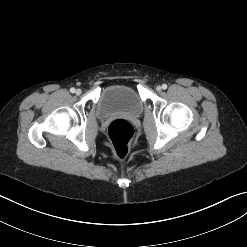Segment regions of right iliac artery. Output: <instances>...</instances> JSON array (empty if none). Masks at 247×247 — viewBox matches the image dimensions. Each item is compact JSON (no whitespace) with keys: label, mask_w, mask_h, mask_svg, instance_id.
<instances>
[{"label":"right iliac artery","mask_w":247,"mask_h":247,"mask_svg":"<svg viewBox=\"0 0 247 247\" xmlns=\"http://www.w3.org/2000/svg\"><path fill=\"white\" fill-rule=\"evenodd\" d=\"M70 92H71V93H74V92H75V88H71V89H70Z\"/></svg>","instance_id":"right-iliac-artery-1"}]
</instances>
